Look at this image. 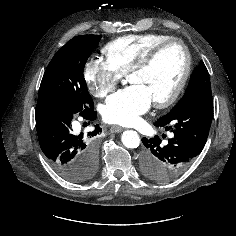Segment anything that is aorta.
<instances>
[{"mask_svg":"<svg viewBox=\"0 0 236 236\" xmlns=\"http://www.w3.org/2000/svg\"><path fill=\"white\" fill-rule=\"evenodd\" d=\"M123 145L127 148H137L140 145V137L136 131L127 130L121 136Z\"/></svg>","mask_w":236,"mask_h":236,"instance_id":"1","label":"aorta"}]
</instances>
